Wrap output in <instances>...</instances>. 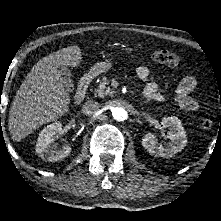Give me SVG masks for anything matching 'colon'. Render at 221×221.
<instances>
[{"instance_id":"5ec220e1","label":"colon","mask_w":221,"mask_h":221,"mask_svg":"<svg viewBox=\"0 0 221 221\" xmlns=\"http://www.w3.org/2000/svg\"><path fill=\"white\" fill-rule=\"evenodd\" d=\"M150 57L153 61L161 64H166L169 66H177L180 63V57L171 51L158 49L153 50L150 53ZM201 126L205 130H209L213 126V121L210 119H204L201 123Z\"/></svg>"}]
</instances>
